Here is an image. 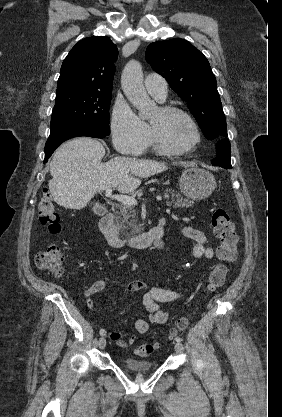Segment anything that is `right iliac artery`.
<instances>
[{"label": "right iliac artery", "instance_id": "1", "mask_svg": "<svg viewBox=\"0 0 282 417\" xmlns=\"http://www.w3.org/2000/svg\"><path fill=\"white\" fill-rule=\"evenodd\" d=\"M106 334V330L105 329H101L100 330V335H105Z\"/></svg>", "mask_w": 282, "mask_h": 417}]
</instances>
